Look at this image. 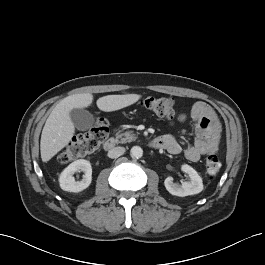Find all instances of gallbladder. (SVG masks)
<instances>
[{
	"label": "gallbladder",
	"instance_id": "obj_1",
	"mask_svg": "<svg viewBox=\"0 0 265 265\" xmlns=\"http://www.w3.org/2000/svg\"><path fill=\"white\" fill-rule=\"evenodd\" d=\"M70 118L74 124V126L81 131L88 130L94 124L93 115L81 108H74L70 111Z\"/></svg>",
	"mask_w": 265,
	"mask_h": 265
}]
</instances>
